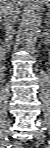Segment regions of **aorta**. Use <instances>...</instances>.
I'll use <instances>...</instances> for the list:
<instances>
[{"label":"aorta","mask_w":50,"mask_h":148,"mask_svg":"<svg viewBox=\"0 0 50 148\" xmlns=\"http://www.w3.org/2000/svg\"><path fill=\"white\" fill-rule=\"evenodd\" d=\"M44 8L39 1L34 0L30 6L25 20V46L29 52H34L42 21Z\"/></svg>","instance_id":"762f6f07"}]
</instances>
